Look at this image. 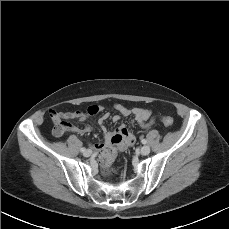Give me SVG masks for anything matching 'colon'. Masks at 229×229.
Instances as JSON below:
<instances>
[{"instance_id":"1","label":"colon","mask_w":229,"mask_h":229,"mask_svg":"<svg viewBox=\"0 0 229 229\" xmlns=\"http://www.w3.org/2000/svg\"><path fill=\"white\" fill-rule=\"evenodd\" d=\"M99 111V107L96 105L90 106L87 111L86 115L92 116L97 114ZM162 123L166 127H170L173 124V119L170 116H163L161 119ZM70 123L66 120V118L63 115L56 114L54 116V128L53 133L55 136H60L64 134L69 128ZM124 135L116 134L113 136L111 145L106 147L100 156V161L103 164V166L106 168V174H109V168L115 161L117 155L121 151L123 146H127L123 144Z\"/></svg>"}]
</instances>
